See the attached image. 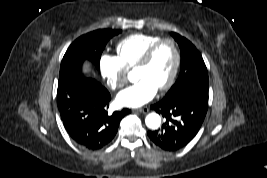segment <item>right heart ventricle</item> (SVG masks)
<instances>
[{"label":"right heart ventricle","mask_w":267,"mask_h":178,"mask_svg":"<svg viewBox=\"0 0 267 178\" xmlns=\"http://www.w3.org/2000/svg\"><path fill=\"white\" fill-rule=\"evenodd\" d=\"M160 39L158 35L143 33L125 37L116 46L119 61L127 70L136 67L146 50Z\"/></svg>","instance_id":"1"}]
</instances>
